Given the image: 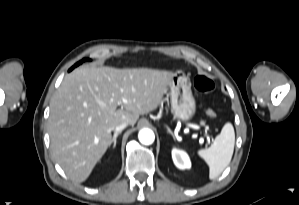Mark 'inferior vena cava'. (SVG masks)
Wrapping results in <instances>:
<instances>
[{"label":"inferior vena cava","mask_w":299,"mask_h":205,"mask_svg":"<svg viewBox=\"0 0 299 205\" xmlns=\"http://www.w3.org/2000/svg\"><path fill=\"white\" fill-rule=\"evenodd\" d=\"M128 126L127 122H122L121 124L117 125L115 127V133L116 132H121L123 129H125Z\"/></svg>","instance_id":"obj_1"}]
</instances>
